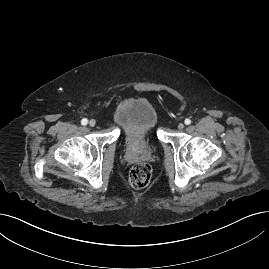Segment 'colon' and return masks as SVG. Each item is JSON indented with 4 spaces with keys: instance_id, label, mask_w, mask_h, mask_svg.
Masks as SVG:
<instances>
[{
    "instance_id": "obj_1",
    "label": "colon",
    "mask_w": 269,
    "mask_h": 269,
    "mask_svg": "<svg viewBox=\"0 0 269 269\" xmlns=\"http://www.w3.org/2000/svg\"><path fill=\"white\" fill-rule=\"evenodd\" d=\"M152 177V168L147 163H139L132 167L129 174L130 185L136 189L149 185Z\"/></svg>"
}]
</instances>
